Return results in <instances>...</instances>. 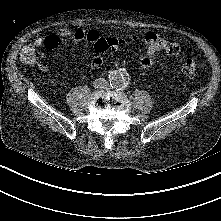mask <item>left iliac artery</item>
<instances>
[{
  "instance_id": "1",
  "label": "left iliac artery",
  "mask_w": 221,
  "mask_h": 221,
  "mask_svg": "<svg viewBox=\"0 0 221 221\" xmlns=\"http://www.w3.org/2000/svg\"><path fill=\"white\" fill-rule=\"evenodd\" d=\"M123 87H124V88L127 87V83L124 82V83H123Z\"/></svg>"
}]
</instances>
